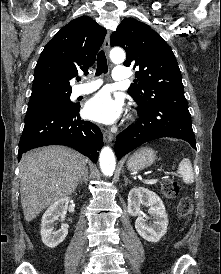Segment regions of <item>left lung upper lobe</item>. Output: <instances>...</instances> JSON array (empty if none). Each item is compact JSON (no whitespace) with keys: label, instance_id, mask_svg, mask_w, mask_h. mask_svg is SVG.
I'll use <instances>...</instances> for the list:
<instances>
[{"label":"left lung upper lobe","instance_id":"obj_1","mask_svg":"<svg viewBox=\"0 0 221 274\" xmlns=\"http://www.w3.org/2000/svg\"><path fill=\"white\" fill-rule=\"evenodd\" d=\"M111 46L125 49L124 65L139 69L128 93L139 107L173 103L184 97L182 76L172 49L145 23L125 18L111 34Z\"/></svg>","mask_w":221,"mask_h":274}]
</instances>
